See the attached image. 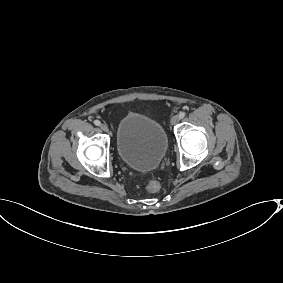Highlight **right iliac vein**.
I'll return each instance as SVG.
<instances>
[{"label": "right iliac vein", "instance_id": "63e3f726", "mask_svg": "<svg viewBox=\"0 0 283 283\" xmlns=\"http://www.w3.org/2000/svg\"><path fill=\"white\" fill-rule=\"evenodd\" d=\"M100 128L104 131V132H108L109 131V128L106 124H101L100 125Z\"/></svg>", "mask_w": 283, "mask_h": 283}]
</instances>
